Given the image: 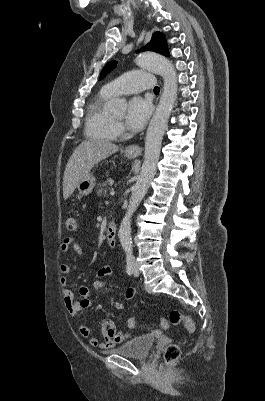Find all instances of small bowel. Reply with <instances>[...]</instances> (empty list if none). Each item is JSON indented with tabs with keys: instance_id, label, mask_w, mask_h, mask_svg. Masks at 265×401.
Listing matches in <instances>:
<instances>
[{
	"instance_id": "c3829d8e",
	"label": "small bowel",
	"mask_w": 265,
	"mask_h": 401,
	"mask_svg": "<svg viewBox=\"0 0 265 401\" xmlns=\"http://www.w3.org/2000/svg\"><path fill=\"white\" fill-rule=\"evenodd\" d=\"M71 247L74 249L77 255H82V245L79 242H76L72 237H66L62 241L60 250L62 253H66ZM72 268L73 266L70 264H62L59 268V271L61 274V285L65 288L63 292L65 307L71 315L78 317L83 310L92 306L93 292L107 291L110 289V286L105 280L112 274V270L108 266L101 267L94 275L93 289H90L86 286H81L79 289L81 299L77 300L73 291L68 288L67 276L71 272ZM135 293L136 290L134 288L128 289L125 293L126 299L132 298ZM113 307L115 311L123 310V304L119 302H116ZM101 328L104 338L103 341H99L97 337L93 336L90 328L85 323L79 324L78 331L82 337L87 339L91 346L98 347L101 350H109L115 345L125 342L129 338L128 334L119 332L115 323L110 319L103 320Z\"/></svg>"
}]
</instances>
